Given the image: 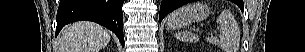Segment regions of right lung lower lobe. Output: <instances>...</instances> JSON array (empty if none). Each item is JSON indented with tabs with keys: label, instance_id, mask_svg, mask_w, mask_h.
<instances>
[{
	"label": "right lung lower lobe",
	"instance_id": "1",
	"mask_svg": "<svg viewBox=\"0 0 305 52\" xmlns=\"http://www.w3.org/2000/svg\"><path fill=\"white\" fill-rule=\"evenodd\" d=\"M123 2L124 0H60L56 35L71 22L93 21L113 31L124 47Z\"/></svg>",
	"mask_w": 305,
	"mask_h": 52
}]
</instances>
